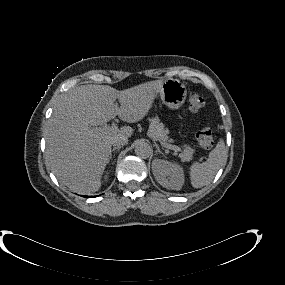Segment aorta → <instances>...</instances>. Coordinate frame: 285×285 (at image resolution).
Segmentation results:
<instances>
[{
	"instance_id": "aorta-1",
	"label": "aorta",
	"mask_w": 285,
	"mask_h": 285,
	"mask_svg": "<svg viewBox=\"0 0 285 285\" xmlns=\"http://www.w3.org/2000/svg\"><path fill=\"white\" fill-rule=\"evenodd\" d=\"M135 154L140 158H148L151 155V147L144 141H139L135 146Z\"/></svg>"
}]
</instances>
